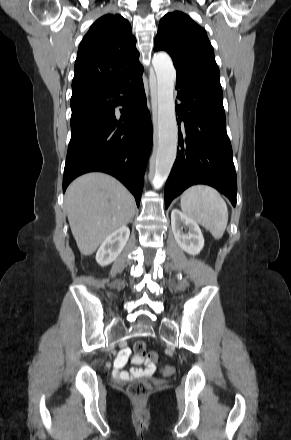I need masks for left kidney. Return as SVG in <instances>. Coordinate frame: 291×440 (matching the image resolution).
Listing matches in <instances>:
<instances>
[{
	"label": "left kidney",
	"instance_id": "5707ae66",
	"mask_svg": "<svg viewBox=\"0 0 291 440\" xmlns=\"http://www.w3.org/2000/svg\"><path fill=\"white\" fill-rule=\"evenodd\" d=\"M171 227L179 247L190 255H197L204 247V237L196 221L182 213L179 209L171 212ZM183 227L189 231L183 232Z\"/></svg>",
	"mask_w": 291,
	"mask_h": 440
}]
</instances>
